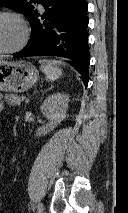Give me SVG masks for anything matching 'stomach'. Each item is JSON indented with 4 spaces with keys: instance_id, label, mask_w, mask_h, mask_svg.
Segmentation results:
<instances>
[{
    "instance_id": "0dacf381",
    "label": "stomach",
    "mask_w": 128,
    "mask_h": 213,
    "mask_svg": "<svg viewBox=\"0 0 128 213\" xmlns=\"http://www.w3.org/2000/svg\"><path fill=\"white\" fill-rule=\"evenodd\" d=\"M38 77V70L30 62L0 59V91H26L36 83Z\"/></svg>"
}]
</instances>
